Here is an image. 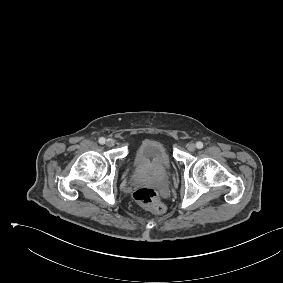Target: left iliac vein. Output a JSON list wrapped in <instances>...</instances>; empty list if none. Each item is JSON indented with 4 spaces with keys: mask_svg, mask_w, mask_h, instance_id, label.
I'll return each mask as SVG.
<instances>
[{
    "mask_svg": "<svg viewBox=\"0 0 283 283\" xmlns=\"http://www.w3.org/2000/svg\"><path fill=\"white\" fill-rule=\"evenodd\" d=\"M187 149H188L190 152H193V151L196 149V146H195V144L190 143V144L187 145Z\"/></svg>",
    "mask_w": 283,
    "mask_h": 283,
    "instance_id": "1",
    "label": "left iliac vein"
}]
</instances>
